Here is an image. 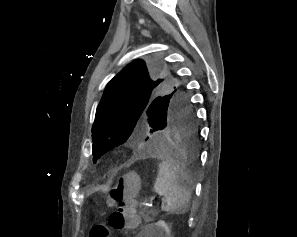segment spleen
Returning a JSON list of instances; mask_svg holds the SVG:
<instances>
[{
  "label": "spleen",
  "instance_id": "3e777b00",
  "mask_svg": "<svg viewBox=\"0 0 297 237\" xmlns=\"http://www.w3.org/2000/svg\"><path fill=\"white\" fill-rule=\"evenodd\" d=\"M188 178L167 160L159 164L154 191L163 196L161 209L171 214H185L189 209L191 188Z\"/></svg>",
  "mask_w": 297,
  "mask_h": 237
}]
</instances>
